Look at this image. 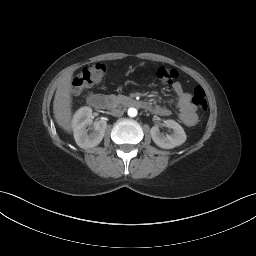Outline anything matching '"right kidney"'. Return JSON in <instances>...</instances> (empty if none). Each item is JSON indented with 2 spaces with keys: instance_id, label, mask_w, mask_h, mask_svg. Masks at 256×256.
Instances as JSON below:
<instances>
[{
  "instance_id": "obj_1",
  "label": "right kidney",
  "mask_w": 256,
  "mask_h": 256,
  "mask_svg": "<svg viewBox=\"0 0 256 256\" xmlns=\"http://www.w3.org/2000/svg\"><path fill=\"white\" fill-rule=\"evenodd\" d=\"M92 123V109L90 107H81L73 116L74 139L77 145L83 149L96 147L104 137L107 127L106 121L99 120L94 124L93 132L88 133L87 127H90Z\"/></svg>"
}]
</instances>
